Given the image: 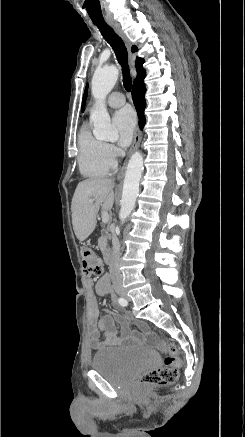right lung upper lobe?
<instances>
[{
  "mask_svg": "<svg viewBox=\"0 0 245 437\" xmlns=\"http://www.w3.org/2000/svg\"><path fill=\"white\" fill-rule=\"evenodd\" d=\"M137 50L136 46L132 47V51L135 52ZM144 63V60L142 58L136 59V70H137V78L134 80V82H137L139 80H143L145 78V69L142 67V64Z\"/></svg>",
  "mask_w": 245,
  "mask_h": 437,
  "instance_id": "1",
  "label": "right lung upper lobe"
}]
</instances>
